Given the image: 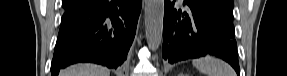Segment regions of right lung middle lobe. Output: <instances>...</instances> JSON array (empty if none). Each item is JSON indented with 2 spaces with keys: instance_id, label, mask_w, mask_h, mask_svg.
I'll use <instances>...</instances> for the list:
<instances>
[{
  "instance_id": "1",
  "label": "right lung middle lobe",
  "mask_w": 287,
  "mask_h": 76,
  "mask_svg": "<svg viewBox=\"0 0 287 76\" xmlns=\"http://www.w3.org/2000/svg\"><path fill=\"white\" fill-rule=\"evenodd\" d=\"M84 0H64L62 1V6L64 8V13L76 8L79 6Z\"/></svg>"
}]
</instances>
